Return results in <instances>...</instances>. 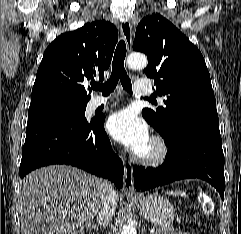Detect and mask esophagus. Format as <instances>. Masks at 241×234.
Instances as JSON below:
<instances>
[{
  "mask_svg": "<svg viewBox=\"0 0 241 234\" xmlns=\"http://www.w3.org/2000/svg\"><path fill=\"white\" fill-rule=\"evenodd\" d=\"M121 36L124 40L127 50L132 48V26L129 21H123L120 26ZM124 193L128 196H134L136 194L134 187L133 168L131 165H125L124 171Z\"/></svg>",
  "mask_w": 241,
  "mask_h": 234,
  "instance_id": "esophagus-1",
  "label": "esophagus"
}]
</instances>
